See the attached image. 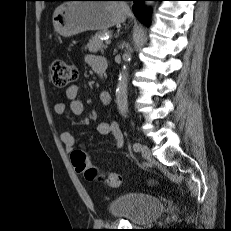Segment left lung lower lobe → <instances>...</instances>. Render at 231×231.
I'll return each mask as SVG.
<instances>
[{
  "label": "left lung lower lobe",
  "mask_w": 231,
  "mask_h": 231,
  "mask_svg": "<svg viewBox=\"0 0 231 231\" xmlns=\"http://www.w3.org/2000/svg\"><path fill=\"white\" fill-rule=\"evenodd\" d=\"M120 1H133V12L135 16L145 25L149 22V14L143 12L142 10V3L143 1H161V0H120Z\"/></svg>",
  "instance_id": "obj_1"
}]
</instances>
